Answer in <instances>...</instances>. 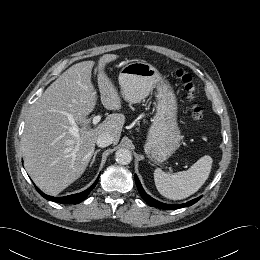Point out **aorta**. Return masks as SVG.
<instances>
[{
    "instance_id": "aorta-1",
    "label": "aorta",
    "mask_w": 260,
    "mask_h": 260,
    "mask_svg": "<svg viewBox=\"0 0 260 260\" xmlns=\"http://www.w3.org/2000/svg\"><path fill=\"white\" fill-rule=\"evenodd\" d=\"M116 162L120 165H127L132 161L131 151L126 148H120L115 153Z\"/></svg>"
}]
</instances>
